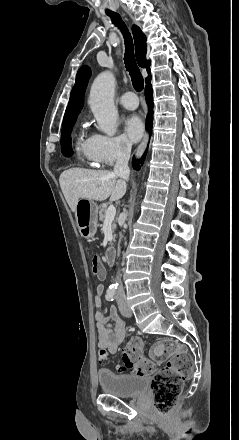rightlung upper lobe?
Wrapping results in <instances>:
<instances>
[{
	"label": "right lung upper lobe",
	"instance_id": "right-lung-upper-lobe-1",
	"mask_svg": "<svg viewBox=\"0 0 239 440\" xmlns=\"http://www.w3.org/2000/svg\"><path fill=\"white\" fill-rule=\"evenodd\" d=\"M132 33L135 42V54L137 62L139 66L143 68L146 67L147 72L150 75V62L146 60V36L136 25H133ZM89 77V68L87 66H82L78 70L75 85L71 91L70 100L63 119V126L77 119L78 114L83 106L82 98L84 96Z\"/></svg>",
	"mask_w": 239,
	"mask_h": 440
}]
</instances>
